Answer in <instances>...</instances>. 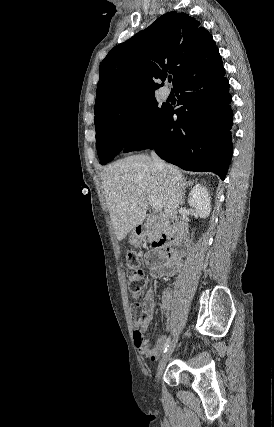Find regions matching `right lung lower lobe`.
<instances>
[{"label": "right lung lower lobe", "mask_w": 274, "mask_h": 427, "mask_svg": "<svg viewBox=\"0 0 274 427\" xmlns=\"http://www.w3.org/2000/svg\"><path fill=\"white\" fill-rule=\"evenodd\" d=\"M224 76L222 64L189 76L174 88L182 106L175 111L167 106L148 135L123 151L152 148L169 163L214 172L224 180L232 156L233 116Z\"/></svg>", "instance_id": "1"}]
</instances>
